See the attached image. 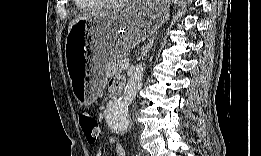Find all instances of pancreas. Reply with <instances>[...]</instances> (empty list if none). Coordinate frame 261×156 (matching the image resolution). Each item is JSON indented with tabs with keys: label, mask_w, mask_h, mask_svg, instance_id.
<instances>
[{
	"label": "pancreas",
	"mask_w": 261,
	"mask_h": 156,
	"mask_svg": "<svg viewBox=\"0 0 261 156\" xmlns=\"http://www.w3.org/2000/svg\"><path fill=\"white\" fill-rule=\"evenodd\" d=\"M128 61L127 54L124 52L115 53L111 56L110 60L104 66L105 76H110L114 73L120 72V65Z\"/></svg>",
	"instance_id": "obj_1"
}]
</instances>
